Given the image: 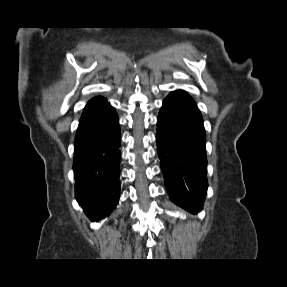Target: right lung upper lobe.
<instances>
[{"label":"right lung upper lobe","mask_w":287,"mask_h":287,"mask_svg":"<svg viewBox=\"0 0 287 287\" xmlns=\"http://www.w3.org/2000/svg\"><path fill=\"white\" fill-rule=\"evenodd\" d=\"M105 101H106V99L103 98V97H100V96L94 97L93 99H91V100L87 103V105H86V107H85L84 110L93 108V107H95V106H97V105L102 104V103L105 102Z\"/></svg>","instance_id":"obj_1"}]
</instances>
